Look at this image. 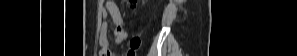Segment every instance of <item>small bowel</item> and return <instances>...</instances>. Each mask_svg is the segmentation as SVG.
<instances>
[{"label": "small bowel", "instance_id": "small-bowel-1", "mask_svg": "<svg viewBox=\"0 0 297 56\" xmlns=\"http://www.w3.org/2000/svg\"><path fill=\"white\" fill-rule=\"evenodd\" d=\"M109 14L113 20V23L116 25V29L114 32V42L115 44H120L127 37V33L124 29V20L122 18L121 12L114 1H107L105 3V11L104 15ZM108 25L104 23L101 28V34L99 37V45H100V56H111L112 53L109 47V40L107 37Z\"/></svg>", "mask_w": 297, "mask_h": 56}]
</instances>
